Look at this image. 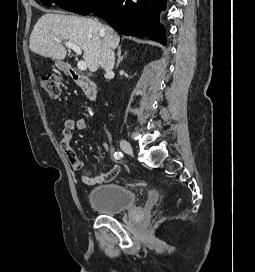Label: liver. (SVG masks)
I'll return each mask as SVG.
<instances>
[{"label":"liver","instance_id":"obj_1","mask_svg":"<svg viewBox=\"0 0 255 272\" xmlns=\"http://www.w3.org/2000/svg\"><path fill=\"white\" fill-rule=\"evenodd\" d=\"M57 39L77 44L83 50V59L91 72L100 65L103 45L115 49L120 42L119 35L110 26L96 19L46 13L33 28L29 48L40 56L62 61L67 50Z\"/></svg>","mask_w":255,"mask_h":272}]
</instances>
